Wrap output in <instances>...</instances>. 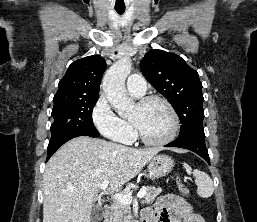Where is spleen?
Listing matches in <instances>:
<instances>
[{
    "label": "spleen",
    "mask_w": 257,
    "mask_h": 222,
    "mask_svg": "<svg viewBox=\"0 0 257 222\" xmlns=\"http://www.w3.org/2000/svg\"><path fill=\"white\" fill-rule=\"evenodd\" d=\"M184 168L189 175L193 174L195 177V183L198 187L197 194L203 198L210 197L214 192V185L210 176L198 169L192 170V168L186 163H184Z\"/></svg>",
    "instance_id": "spleen-1"
}]
</instances>
